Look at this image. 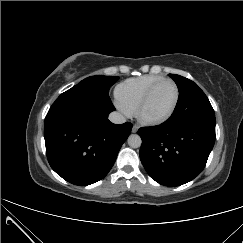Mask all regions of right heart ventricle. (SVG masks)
<instances>
[{
	"mask_svg": "<svg viewBox=\"0 0 243 243\" xmlns=\"http://www.w3.org/2000/svg\"><path fill=\"white\" fill-rule=\"evenodd\" d=\"M162 79L164 77L161 75L147 74L121 82L115 88V96L119 106L126 113H135L149 88Z\"/></svg>",
	"mask_w": 243,
	"mask_h": 243,
	"instance_id": "obj_1",
	"label": "right heart ventricle"
}]
</instances>
